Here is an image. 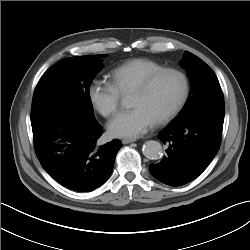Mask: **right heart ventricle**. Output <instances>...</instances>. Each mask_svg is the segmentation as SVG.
<instances>
[{
	"label": "right heart ventricle",
	"mask_w": 250,
	"mask_h": 250,
	"mask_svg": "<svg viewBox=\"0 0 250 250\" xmlns=\"http://www.w3.org/2000/svg\"><path fill=\"white\" fill-rule=\"evenodd\" d=\"M164 68L147 58L130 59L115 67L109 74L110 82L120 94L132 92L151 73Z\"/></svg>",
	"instance_id": "e07e8e85"
}]
</instances>
